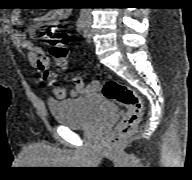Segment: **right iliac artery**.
Instances as JSON below:
<instances>
[{"instance_id":"82829eb1","label":"right iliac artery","mask_w":192,"mask_h":180,"mask_svg":"<svg viewBox=\"0 0 192 180\" xmlns=\"http://www.w3.org/2000/svg\"><path fill=\"white\" fill-rule=\"evenodd\" d=\"M88 14L86 12H81L78 20H77V31L81 32L86 24Z\"/></svg>"}]
</instances>
